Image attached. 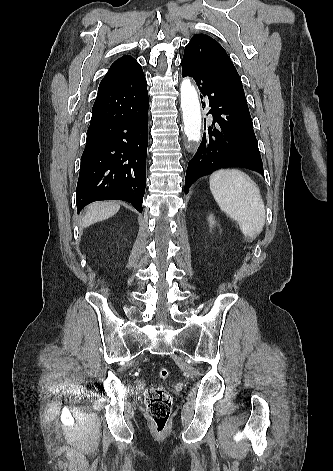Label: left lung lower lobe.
I'll return each mask as SVG.
<instances>
[{
  "mask_svg": "<svg viewBox=\"0 0 333 471\" xmlns=\"http://www.w3.org/2000/svg\"><path fill=\"white\" fill-rule=\"evenodd\" d=\"M182 76L193 77L200 89L203 108L210 107L212 126L189 161L185 190L198 177L217 169L242 167L264 175L250 112L231 90L198 61L183 57ZM206 121V120H205Z\"/></svg>",
  "mask_w": 333,
  "mask_h": 471,
  "instance_id": "obj_1",
  "label": "left lung lower lobe"
}]
</instances>
